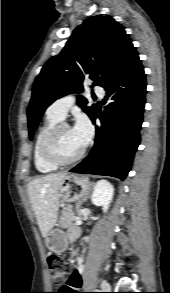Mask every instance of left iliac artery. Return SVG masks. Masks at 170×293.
<instances>
[{
	"label": "left iliac artery",
	"mask_w": 170,
	"mask_h": 293,
	"mask_svg": "<svg viewBox=\"0 0 170 293\" xmlns=\"http://www.w3.org/2000/svg\"><path fill=\"white\" fill-rule=\"evenodd\" d=\"M103 290H109V289H107V288H102Z\"/></svg>",
	"instance_id": "left-iliac-artery-1"
}]
</instances>
